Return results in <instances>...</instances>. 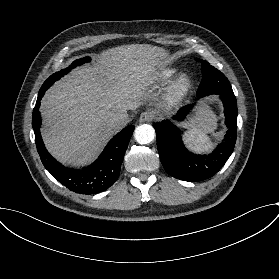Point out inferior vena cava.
Returning a JSON list of instances; mask_svg holds the SVG:
<instances>
[{"mask_svg": "<svg viewBox=\"0 0 279 279\" xmlns=\"http://www.w3.org/2000/svg\"><path fill=\"white\" fill-rule=\"evenodd\" d=\"M129 119V115L126 110H123L120 113H115L111 116V119L108 121V124L116 129L123 128Z\"/></svg>", "mask_w": 279, "mask_h": 279, "instance_id": "inferior-vena-cava-1", "label": "inferior vena cava"}]
</instances>
